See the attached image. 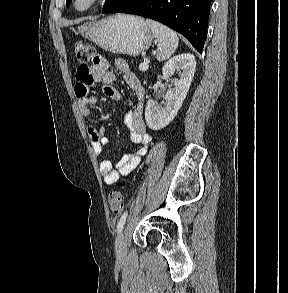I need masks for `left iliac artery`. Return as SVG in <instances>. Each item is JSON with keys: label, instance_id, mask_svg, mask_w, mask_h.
I'll list each match as a JSON object with an SVG mask.
<instances>
[{"label": "left iliac artery", "instance_id": "44dca946", "mask_svg": "<svg viewBox=\"0 0 288 293\" xmlns=\"http://www.w3.org/2000/svg\"><path fill=\"white\" fill-rule=\"evenodd\" d=\"M126 217H127V211H125L123 215L120 217V219L118 220V226H117L118 233H121L126 221Z\"/></svg>", "mask_w": 288, "mask_h": 293}]
</instances>
